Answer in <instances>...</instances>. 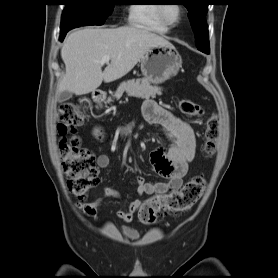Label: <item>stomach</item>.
Instances as JSON below:
<instances>
[{"mask_svg":"<svg viewBox=\"0 0 278 278\" xmlns=\"http://www.w3.org/2000/svg\"><path fill=\"white\" fill-rule=\"evenodd\" d=\"M182 58L173 45L151 47L141 59V71L150 83H163L178 74Z\"/></svg>","mask_w":278,"mask_h":278,"instance_id":"1","label":"stomach"}]
</instances>
